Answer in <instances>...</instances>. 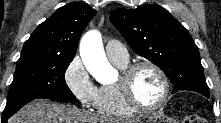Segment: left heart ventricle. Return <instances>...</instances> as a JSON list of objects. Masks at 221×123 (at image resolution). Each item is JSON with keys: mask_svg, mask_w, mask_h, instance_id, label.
I'll use <instances>...</instances> for the list:
<instances>
[{"mask_svg": "<svg viewBox=\"0 0 221 123\" xmlns=\"http://www.w3.org/2000/svg\"><path fill=\"white\" fill-rule=\"evenodd\" d=\"M132 90L137 101L144 106H153L163 94L160 76L151 68L139 70L132 81Z\"/></svg>", "mask_w": 221, "mask_h": 123, "instance_id": "b2bd125f", "label": "left heart ventricle"}]
</instances>
